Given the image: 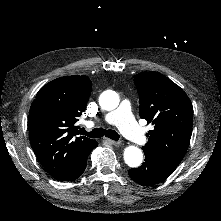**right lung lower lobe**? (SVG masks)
<instances>
[{
  "label": "right lung lower lobe",
  "mask_w": 221,
  "mask_h": 221,
  "mask_svg": "<svg viewBox=\"0 0 221 221\" xmlns=\"http://www.w3.org/2000/svg\"><path fill=\"white\" fill-rule=\"evenodd\" d=\"M97 146H98V144H97V142H95L94 147L81 159V161L79 163H77V165L72 170H70L69 172H67L62 177H60L56 180H58V181H73V180L77 179L84 172V170L86 168L87 158H88L89 153Z\"/></svg>",
  "instance_id": "obj_1"
}]
</instances>
